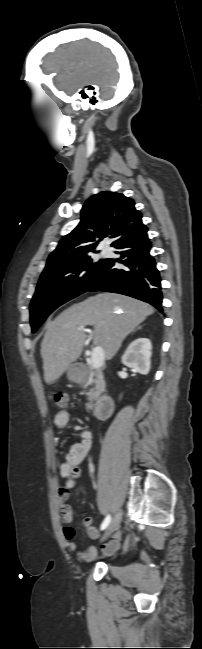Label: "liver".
I'll list each match as a JSON object with an SVG mask.
<instances>
[{"label": "liver", "mask_w": 202, "mask_h": 649, "mask_svg": "<svg viewBox=\"0 0 202 649\" xmlns=\"http://www.w3.org/2000/svg\"><path fill=\"white\" fill-rule=\"evenodd\" d=\"M153 313L151 305L113 293H100L65 309L48 323L41 343L45 382L54 383L80 357L86 326H94L93 344L101 346L110 360L126 336Z\"/></svg>", "instance_id": "liver-1"}]
</instances>
